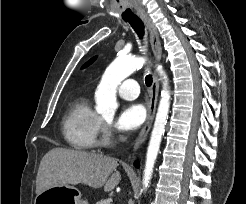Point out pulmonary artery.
I'll return each instance as SVG.
<instances>
[{
  "label": "pulmonary artery",
  "instance_id": "1",
  "mask_svg": "<svg viewBox=\"0 0 246 204\" xmlns=\"http://www.w3.org/2000/svg\"><path fill=\"white\" fill-rule=\"evenodd\" d=\"M139 92V85L134 79H126L120 84L118 88L119 95L126 100L136 99L139 95Z\"/></svg>",
  "mask_w": 246,
  "mask_h": 204
}]
</instances>
